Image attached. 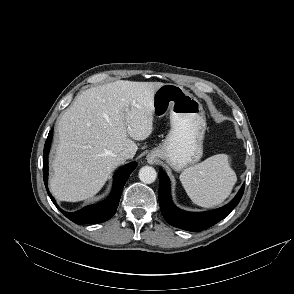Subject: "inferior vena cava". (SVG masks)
Wrapping results in <instances>:
<instances>
[{
  "instance_id": "inferior-vena-cava-1",
  "label": "inferior vena cava",
  "mask_w": 294,
  "mask_h": 294,
  "mask_svg": "<svg viewBox=\"0 0 294 294\" xmlns=\"http://www.w3.org/2000/svg\"><path fill=\"white\" fill-rule=\"evenodd\" d=\"M133 154L129 150H124L120 153V157L124 160L133 158Z\"/></svg>"
}]
</instances>
